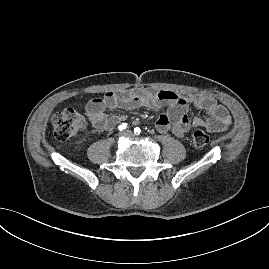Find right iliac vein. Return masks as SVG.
Wrapping results in <instances>:
<instances>
[{"label":"right iliac vein","instance_id":"obj_1","mask_svg":"<svg viewBox=\"0 0 269 269\" xmlns=\"http://www.w3.org/2000/svg\"><path fill=\"white\" fill-rule=\"evenodd\" d=\"M122 135H124V132H120V133H119V136H122Z\"/></svg>","mask_w":269,"mask_h":269}]
</instances>
